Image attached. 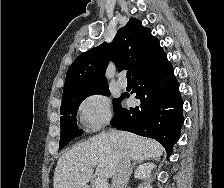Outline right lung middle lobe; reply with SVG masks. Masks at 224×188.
Returning <instances> with one entry per match:
<instances>
[{
	"instance_id": "1",
	"label": "right lung middle lobe",
	"mask_w": 224,
	"mask_h": 188,
	"mask_svg": "<svg viewBox=\"0 0 224 188\" xmlns=\"http://www.w3.org/2000/svg\"><path fill=\"white\" fill-rule=\"evenodd\" d=\"M94 94H103L109 96L110 92L108 85L82 91L70 92L62 95V105L60 109L62 114L60 119V148H63L68 142L83 133L77 125L76 113L80 103L86 97ZM119 99L120 98L113 100L114 106L118 103Z\"/></svg>"
}]
</instances>
